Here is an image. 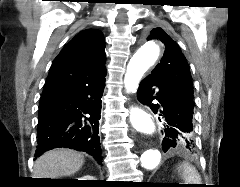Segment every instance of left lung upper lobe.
<instances>
[{
  "label": "left lung upper lobe",
  "mask_w": 240,
  "mask_h": 187,
  "mask_svg": "<svg viewBox=\"0 0 240 187\" xmlns=\"http://www.w3.org/2000/svg\"><path fill=\"white\" fill-rule=\"evenodd\" d=\"M147 39L160 40L165 45V53L160 63L149 76L162 87L193 100L192 78L188 62L180 47L162 28H154ZM185 137L192 138L193 132L186 134Z\"/></svg>",
  "instance_id": "obj_1"
}]
</instances>
